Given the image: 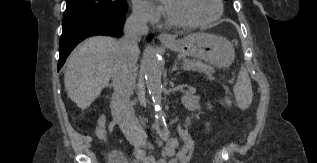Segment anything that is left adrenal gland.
I'll list each match as a JSON object with an SVG mask.
<instances>
[{"mask_svg":"<svg viewBox=\"0 0 317 163\" xmlns=\"http://www.w3.org/2000/svg\"><path fill=\"white\" fill-rule=\"evenodd\" d=\"M176 70H179V68L177 66V60L174 61V65H173V68H172L171 71L173 72V71H176Z\"/></svg>","mask_w":317,"mask_h":163,"instance_id":"left-adrenal-gland-1","label":"left adrenal gland"}]
</instances>
